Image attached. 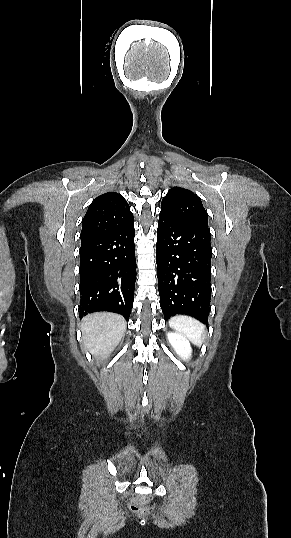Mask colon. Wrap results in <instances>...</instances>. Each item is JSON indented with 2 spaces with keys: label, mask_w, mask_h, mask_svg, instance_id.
Returning <instances> with one entry per match:
<instances>
[{
  "label": "colon",
  "mask_w": 291,
  "mask_h": 538,
  "mask_svg": "<svg viewBox=\"0 0 291 538\" xmlns=\"http://www.w3.org/2000/svg\"><path fill=\"white\" fill-rule=\"evenodd\" d=\"M131 509L143 515H147L151 512V507L145 499L134 500L131 504Z\"/></svg>",
  "instance_id": "5ec220e1"
}]
</instances>
